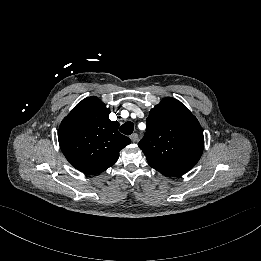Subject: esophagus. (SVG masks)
<instances>
[{"label": "esophagus", "instance_id": "obj_1", "mask_svg": "<svg viewBox=\"0 0 261 261\" xmlns=\"http://www.w3.org/2000/svg\"><path fill=\"white\" fill-rule=\"evenodd\" d=\"M130 139L132 140V142H137L138 141V139H139V136H138V134H136V133H133V134H131L130 135Z\"/></svg>", "mask_w": 261, "mask_h": 261}]
</instances>
